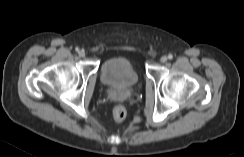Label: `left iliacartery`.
Returning a JSON list of instances; mask_svg holds the SVG:
<instances>
[{"label": "left iliac artery", "instance_id": "obj_1", "mask_svg": "<svg viewBox=\"0 0 244 157\" xmlns=\"http://www.w3.org/2000/svg\"><path fill=\"white\" fill-rule=\"evenodd\" d=\"M168 58L171 60L173 58L172 54H169Z\"/></svg>", "mask_w": 244, "mask_h": 157}]
</instances>
